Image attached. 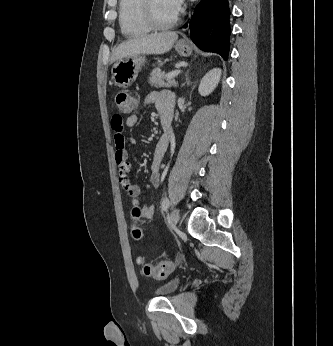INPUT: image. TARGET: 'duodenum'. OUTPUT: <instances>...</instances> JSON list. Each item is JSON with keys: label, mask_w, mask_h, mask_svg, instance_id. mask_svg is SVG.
<instances>
[{"label": "duodenum", "mask_w": 333, "mask_h": 346, "mask_svg": "<svg viewBox=\"0 0 333 346\" xmlns=\"http://www.w3.org/2000/svg\"><path fill=\"white\" fill-rule=\"evenodd\" d=\"M160 122L162 127V136L165 138L169 137L170 127H171L170 120L165 116H161Z\"/></svg>", "instance_id": "duodenum-1"}]
</instances>
